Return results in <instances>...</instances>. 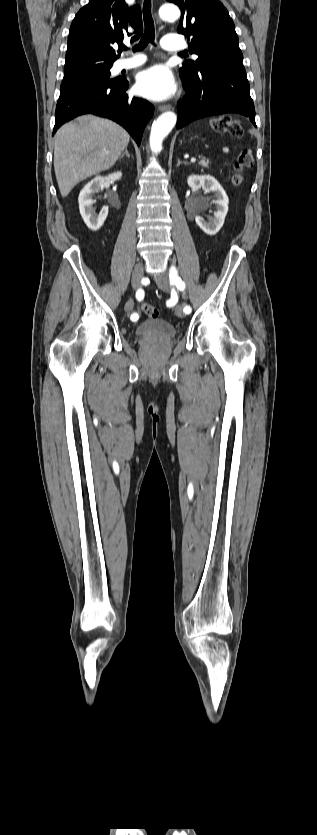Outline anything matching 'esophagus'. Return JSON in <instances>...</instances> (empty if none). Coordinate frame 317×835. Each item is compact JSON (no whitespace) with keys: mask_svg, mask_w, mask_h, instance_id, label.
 Segmentation results:
<instances>
[{"mask_svg":"<svg viewBox=\"0 0 317 835\" xmlns=\"http://www.w3.org/2000/svg\"><path fill=\"white\" fill-rule=\"evenodd\" d=\"M155 18H156L157 23L160 25V24H161V21H160V19H159V17H158V15H157V13H156V12H155ZM171 108H172V107H171V105H169V104H167V105H160V106L158 107L159 111H166V110H170Z\"/></svg>","mask_w":317,"mask_h":835,"instance_id":"1","label":"esophagus"}]
</instances>
